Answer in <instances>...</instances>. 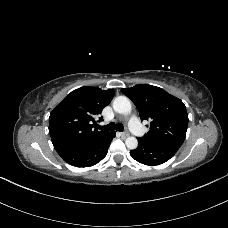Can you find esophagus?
<instances>
[{
  "label": "esophagus",
  "instance_id": "34e87169",
  "mask_svg": "<svg viewBox=\"0 0 228 228\" xmlns=\"http://www.w3.org/2000/svg\"><path fill=\"white\" fill-rule=\"evenodd\" d=\"M122 137H128L129 136V133L128 132H122L120 133Z\"/></svg>",
  "mask_w": 228,
  "mask_h": 228
}]
</instances>
